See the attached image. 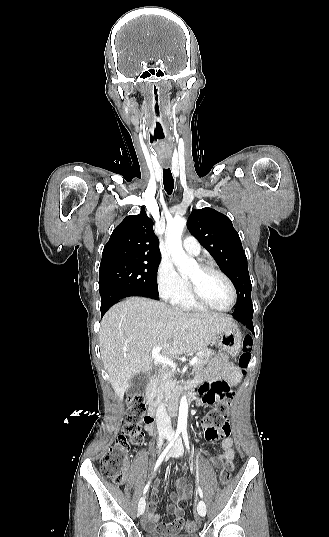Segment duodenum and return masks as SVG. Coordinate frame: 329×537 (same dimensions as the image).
<instances>
[{
  "label": "duodenum",
  "mask_w": 329,
  "mask_h": 537,
  "mask_svg": "<svg viewBox=\"0 0 329 537\" xmlns=\"http://www.w3.org/2000/svg\"><path fill=\"white\" fill-rule=\"evenodd\" d=\"M157 407H158V402L156 400H154V399H150L149 400V407H148V414H149V416L151 418H153L156 415ZM175 410H176V407L172 406L171 407L172 413H175Z\"/></svg>",
  "instance_id": "obj_1"
}]
</instances>
